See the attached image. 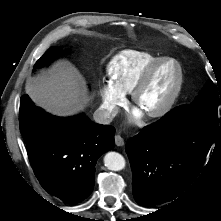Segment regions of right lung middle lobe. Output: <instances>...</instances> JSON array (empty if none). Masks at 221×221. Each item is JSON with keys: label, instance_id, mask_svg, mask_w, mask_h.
<instances>
[{"label": "right lung middle lobe", "instance_id": "right-lung-middle-lobe-1", "mask_svg": "<svg viewBox=\"0 0 221 221\" xmlns=\"http://www.w3.org/2000/svg\"><path fill=\"white\" fill-rule=\"evenodd\" d=\"M61 55H62V52L58 48H54V47L49 48L45 52V54L36 62V64L34 65V68L36 69L42 65H47L48 63L55 60Z\"/></svg>", "mask_w": 221, "mask_h": 221}]
</instances>
